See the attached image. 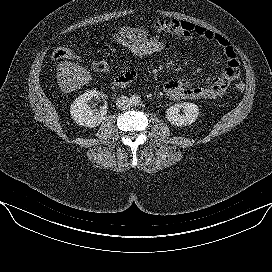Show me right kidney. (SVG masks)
<instances>
[{"instance_id":"1","label":"right kidney","mask_w":272,"mask_h":272,"mask_svg":"<svg viewBox=\"0 0 272 272\" xmlns=\"http://www.w3.org/2000/svg\"><path fill=\"white\" fill-rule=\"evenodd\" d=\"M100 95L103 97V94L99 91L90 90L75 99L71 105L70 114L77 124L92 128L98 126L105 119L107 114L106 104L97 113H94V110L88 104L91 98Z\"/></svg>"}]
</instances>
